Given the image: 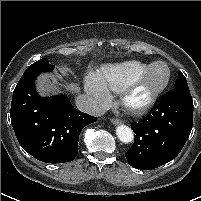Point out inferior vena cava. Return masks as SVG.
Returning <instances> with one entry per match:
<instances>
[{"label":"inferior vena cava","instance_id":"inferior-vena-cava-1","mask_svg":"<svg viewBox=\"0 0 201 201\" xmlns=\"http://www.w3.org/2000/svg\"><path fill=\"white\" fill-rule=\"evenodd\" d=\"M75 101L77 108L87 114L96 117L105 114V109L101 106V104L87 95H79Z\"/></svg>","mask_w":201,"mask_h":201}]
</instances>
